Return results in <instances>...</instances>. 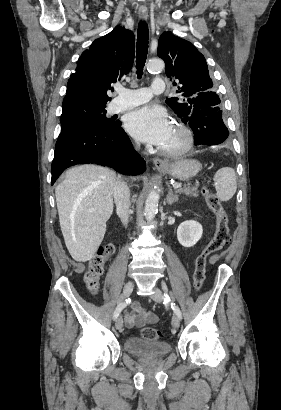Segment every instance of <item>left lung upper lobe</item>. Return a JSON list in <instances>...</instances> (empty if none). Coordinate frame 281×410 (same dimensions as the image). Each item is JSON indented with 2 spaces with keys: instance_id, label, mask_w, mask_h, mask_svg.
<instances>
[{
  "instance_id": "left-lung-upper-lobe-1",
  "label": "left lung upper lobe",
  "mask_w": 281,
  "mask_h": 410,
  "mask_svg": "<svg viewBox=\"0 0 281 410\" xmlns=\"http://www.w3.org/2000/svg\"><path fill=\"white\" fill-rule=\"evenodd\" d=\"M157 54L165 61L166 75L174 79L173 85L179 84L176 92L181 98H169L166 103L183 123L195 109L219 106L220 98L213 91L206 60L191 42L164 32Z\"/></svg>"
}]
</instances>
